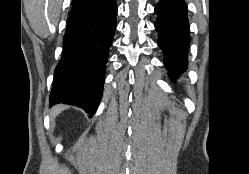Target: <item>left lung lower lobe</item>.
<instances>
[{
  "mask_svg": "<svg viewBox=\"0 0 249 174\" xmlns=\"http://www.w3.org/2000/svg\"><path fill=\"white\" fill-rule=\"evenodd\" d=\"M158 18V45L164 52V64L172 79L186 70L190 44L187 5L184 0H160L155 7Z\"/></svg>",
  "mask_w": 249,
  "mask_h": 174,
  "instance_id": "1",
  "label": "left lung lower lobe"
}]
</instances>
